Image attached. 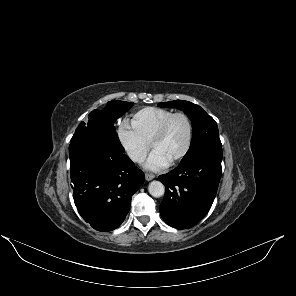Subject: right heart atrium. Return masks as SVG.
Returning a JSON list of instances; mask_svg holds the SVG:
<instances>
[{
  "label": "right heart atrium",
  "instance_id": "1",
  "mask_svg": "<svg viewBox=\"0 0 296 296\" xmlns=\"http://www.w3.org/2000/svg\"><path fill=\"white\" fill-rule=\"evenodd\" d=\"M118 138L127 156L135 163H142L149 150L150 145L146 143L137 132L129 126H120Z\"/></svg>",
  "mask_w": 296,
  "mask_h": 296
}]
</instances>
